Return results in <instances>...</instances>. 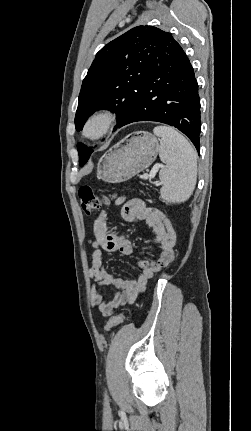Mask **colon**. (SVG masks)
<instances>
[{
    "label": "colon",
    "instance_id": "1",
    "mask_svg": "<svg viewBox=\"0 0 251 431\" xmlns=\"http://www.w3.org/2000/svg\"><path fill=\"white\" fill-rule=\"evenodd\" d=\"M78 196L81 202L82 210L86 215H91L101 206L109 202L107 195L96 193L89 186H81L78 191ZM125 319V312L113 315L105 326L106 332H110L113 328L120 325Z\"/></svg>",
    "mask_w": 251,
    "mask_h": 431
}]
</instances>
